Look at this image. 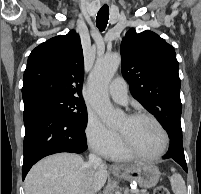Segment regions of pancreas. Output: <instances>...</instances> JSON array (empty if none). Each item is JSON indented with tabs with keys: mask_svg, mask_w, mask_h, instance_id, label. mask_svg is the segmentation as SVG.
Here are the masks:
<instances>
[{
	"mask_svg": "<svg viewBox=\"0 0 201 194\" xmlns=\"http://www.w3.org/2000/svg\"><path fill=\"white\" fill-rule=\"evenodd\" d=\"M132 194H147V193H144V192H132Z\"/></svg>",
	"mask_w": 201,
	"mask_h": 194,
	"instance_id": "cf45deb5",
	"label": "pancreas"
}]
</instances>
